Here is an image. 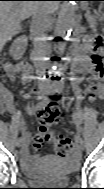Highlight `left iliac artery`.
Here are the masks:
<instances>
[{
    "instance_id": "left-iliac-artery-1",
    "label": "left iliac artery",
    "mask_w": 104,
    "mask_h": 189,
    "mask_svg": "<svg viewBox=\"0 0 104 189\" xmlns=\"http://www.w3.org/2000/svg\"><path fill=\"white\" fill-rule=\"evenodd\" d=\"M61 90L59 89L57 92L59 93ZM73 120L76 121V125H75V136H78V139L80 141H82V130L81 128H79L80 125V121H79V112L77 110H75L73 112Z\"/></svg>"
}]
</instances>
